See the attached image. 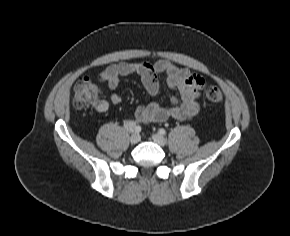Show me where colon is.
<instances>
[{"label": "colon", "instance_id": "1", "mask_svg": "<svg viewBox=\"0 0 290 236\" xmlns=\"http://www.w3.org/2000/svg\"><path fill=\"white\" fill-rule=\"evenodd\" d=\"M100 88L90 78L80 79L73 88V104L76 108L82 109L92 106L98 99ZM204 95L207 101L217 103L223 100V93L217 86L211 85L205 88Z\"/></svg>", "mask_w": 290, "mask_h": 236}]
</instances>
